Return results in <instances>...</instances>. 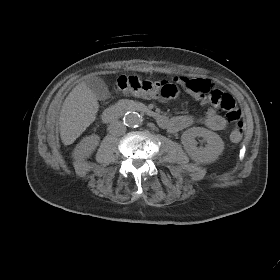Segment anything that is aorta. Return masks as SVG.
<instances>
[{"label":"aorta","mask_w":280,"mask_h":280,"mask_svg":"<svg viewBox=\"0 0 280 280\" xmlns=\"http://www.w3.org/2000/svg\"><path fill=\"white\" fill-rule=\"evenodd\" d=\"M142 121V117L137 112H127L123 117L124 124L129 127H137Z\"/></svg>","instance_id":"1"}]
</instances>
